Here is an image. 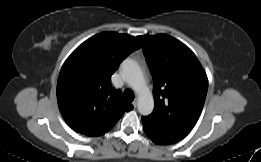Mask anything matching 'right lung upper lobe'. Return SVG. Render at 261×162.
<instances>
[{"label": "right lung upper lobe", "instance_id": "1", "mask_svg": "<svg viewBox=\"0 0 261 162\" xmlns=\"http://www.w3.org/2000/svg\"><path fill=\"white\" fill-rule=\"evenodd\" d=\"M140 48L127 34L103 32L82 43L63 64L57 101L66 123L76 132L100 136L133 106L110 85V77L131 52Z\"/></svg>", "mask_w": 261, "mask_h": 162}]
</instances>
